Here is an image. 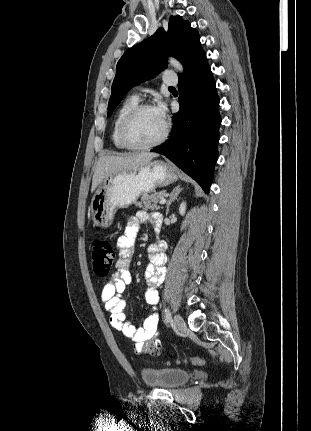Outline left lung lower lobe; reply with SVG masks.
I'll return each instance as SVG.
<instances>
[{
  "mask_svg": "<svg viewBox=\"0 0 311 431\" xmlns=\"http://www.w3.org/2000/svg\"><path fill=\"white\" fill-rule=\"evenodd\" d=\"M178 113L166 142L151 150L165 155L208 193L218 158L219 98L204 51L179 76Z\"/></svg>",
  "mask_w": 311,
  "mask_h": 431,
  "instance_id": "obj_1",
  "label": "left lung lower lobe"
}]
</instances>
